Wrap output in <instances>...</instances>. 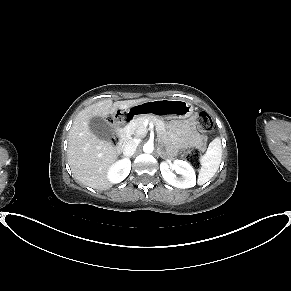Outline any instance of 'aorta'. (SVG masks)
Masks as SVG:
<instances>
[{
    "label": "aorta",
    "instance_id": "aorta-1",
    "mask_svg": "<svg viewBox=\"0 0 291 291\" xmlns=\"http://www.w3.org/2000/svg\"><path fill=\"white\" fill-rule=\"evenodd\" d=\"M153 150H154L153 143H151V142H147V143L144 144V146H143V151H144L145 153H152Z\"/></svg>",
    "mask_w": 291,
    "mask_h": 291
}]
</instances>
